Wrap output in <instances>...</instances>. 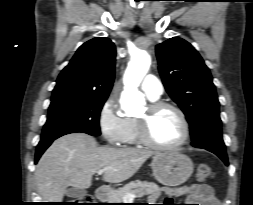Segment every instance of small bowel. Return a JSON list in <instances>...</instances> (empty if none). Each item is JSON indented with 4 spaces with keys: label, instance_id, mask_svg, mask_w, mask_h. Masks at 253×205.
<instances>
[{
    "label": "small bowel",
    "instance_id": "c3829d8e",
    "mask_svg": "<svg viewBox=\"0 0 253 205\" xmlns=\"http://www.w3.org/2000/svg\"><path fill=\"white\" fill-rule=\"evenodd\" d=\"M165 193L168 195L167 205H170V200L175 196H187L190 202L196 203L191 205H218L212 188L204 184H193L178 189H166Z\"/></svg>",
    "mask_w": 253,
    "mask_h": 205
}]
</instances>
